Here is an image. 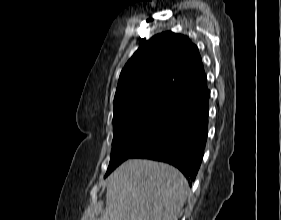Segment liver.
<instances>
[{
	"label": "liver",
	"mask_w": 281,
	"mask_h": 220,
	"mask_svg": "<svg viewBox=\"0 0 281 220\" xmlns=\"http://www.w3.org/2000/svg\"><path fill=\"white\" fill-rule=\"evenodd\" d=\"M188 194L177 168L129 159L108 177L104 213L93 220H178Z\"/></svg>",
	"instance_id": "liver-1"
}]
</instances>
